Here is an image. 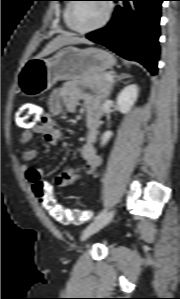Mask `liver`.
Returning a JSON list of instances; mask_svg holds the SVG:
<instances>
[{
  "mask_svg": "<svg viewBox=\"0 0 180 299\" xmlns=\"http://www.w3.org/2000/svg\"><path fill=\"white\" fill-rule=\"evenodd\" d=\"M90 44V42L84 38L75 36L73 33L62 31L52 41H50L46 47L36 56V58L45 57L57 49L66 45L76 44Z\"/></svg>",
  "mask_w": 180,
  "mask_h": 299,
  "instance_id": "6515ba94",
  "label": "liver"
}]
</instances>
